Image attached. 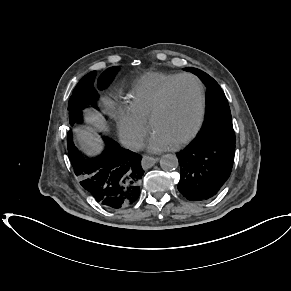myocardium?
Returning <instances> with one entry per match:
<instances>
[{"instance_id": "myocardium-1", "label": "myocardium", "mask_w": 291, "mask_h": 291, "mask_svg": "<svg viewBox=\"0 0 291 291\" xmlns=\"http://www.w3.org/2000/svg\"><path fill=\"white\" fill-rule=\"evenodd\" d=\"M192 80L196 83L198 87V93H199V111H198V117L195 126L193 129L182 139L178 140L177 142L172 144L173 148H179L187 143H189L192 139L195 138V136L199 133L203 122L205 118V111H206V95H205V89L202 84V82L194 75L191 74H182L179 75L163 92L162 97L160 99L159 104L156 106V108L151 112L148 123L150 126V129L153 130L154 123L156 119L166 110V108L169 105L170 97L175 88L179 85L180 82L183 80Z\"/></svg>"}]
</instances>
